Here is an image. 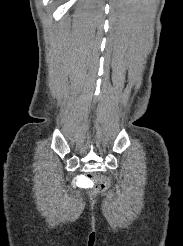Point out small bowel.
<instances>
[{
    "label": "small bowel",
    "mask_w": 183,
    "mask_h": 246,
    "mask_svg": "<svg viewBox=\"0 0 183 246\" xmlns=\"http://www.w3.org/2000/svg\"><path fill=\"white\" fill-rule=\"evenodd\" d=\"M77 178L78 179H84V180H76L75 181V184L76 185H88V180H85L88 178V175L87 174H78L77 175Z\"/></svg>",
    "instance_id": "c3829d8e"
}]
</instances>
